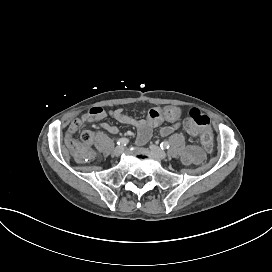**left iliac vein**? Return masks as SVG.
<instances>
[{"instance_id":"1","label":"left iliac vein","mask_w":272,"mask_h":272,"mask_svg":"<svg viewBox=\"0 0 272 272\" xmlns=\"http://www.w3.org/2000/svg\"><path fill=\"white\" fill-rule=\"evenodd\" d=\"M150 150L159 158V159H165L166 158V153L158 146L155 144H150L149 146Z\"/></svg>"}]
</instances>
